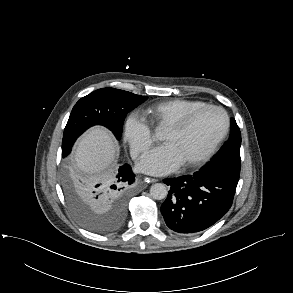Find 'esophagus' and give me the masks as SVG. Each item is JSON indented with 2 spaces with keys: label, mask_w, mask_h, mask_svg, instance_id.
Wrapping results in <instances>:
<instances>
[{
  "label": "esophagus",
  "mask_w": 293,
  "mask_h": 293,
  "mask_svg": "<svg viewBox=\"0 0 293 293\" xmlns=\"http://www.w3.org/2000/svg\"><path fill=\"white\" fill-rule=\"evenodd\" d=\"M145 180H148V181H150L151 183H155V182L158 181V179H156V178H150V177H146Z\"/></svg>",
  "instance_id": "34e87169"
}]
</instances>
